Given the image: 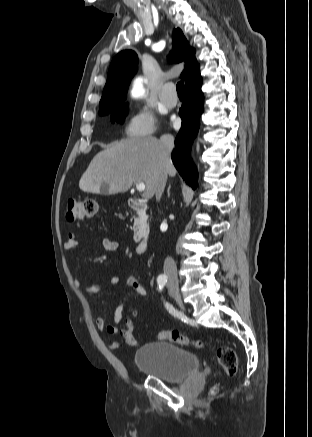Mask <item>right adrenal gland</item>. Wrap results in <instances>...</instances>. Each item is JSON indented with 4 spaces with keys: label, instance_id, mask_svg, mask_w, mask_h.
Wrapping results in <instances>:
<instances>
[{
    "label": "right adrenal gland",
    "instance_id": "right-adrenal-gland-1",
    "mask_svg": "<svg viewBox=\"0 0 312 437\" xmlns=\"http://www.w3.org/2000/svg\"><path fill=\"white\" fill-rule=\"evenodd\" d=\"M170 188H171V186L169 185L168 190H167L168 197L170 196Z\"/></svg>",
    "mask_w": 312,
    "mask_h": 437
}]
</instances>
